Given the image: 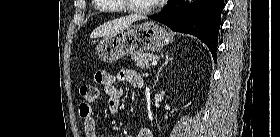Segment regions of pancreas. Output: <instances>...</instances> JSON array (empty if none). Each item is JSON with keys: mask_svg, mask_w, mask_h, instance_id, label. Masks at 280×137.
Segmentation results:
<instances>
[{"mask_svg": "<svg viewBox=\"0 0 280 137\" xmlns=\"http://www.w3.org/2000/svg\"><path fill=\"white\" fill-rule=\"evenodd\" d=\"M156 56L150 53L147 54H141L134 57V61L136 63L137 67L140 68H149L150 67V61L155 60Z\"/></svg>", "mask_w": 280, "mask_h": 137, "instance_id": "1", "label": "pancreas"}]
</instances>
